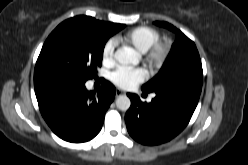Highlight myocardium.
<instances>
[{
	"mask_svg": "<svg viewBox=\"0 0 248 165\" xmlns=\"http://www.w3.org/2000/svg\"><path fill=\"white\" fill-rule=\"evenodd\" d=\"M146 53V61L153 67H160L164 64L170 53L168 44L157 41Z\"/></svg>",
	"mask_w": 248,
	"mask_h": 165,
	"instance_id": "myocardium-1",
	"label": "myocardium"
}]
</instances>
